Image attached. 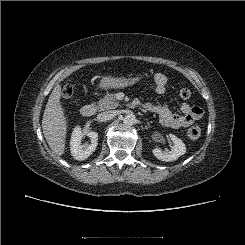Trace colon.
<instances>
[{
    "label": "colon",
    "instance_id": "obj_1",
    "mask_svg": "<svg viewBox=\"0 0 245 245\" xmlns=\"http://www.w3.org/2000/svg\"><path fill=\"white\" fill-rule=\"evenodd\" d=\"M74 94V88L71 84H66L64 85L63 89H62V97L65 100H69L72 98ZM179 96L182 99H188L191 96V91L189 88L183 87L179 90ZM187 136L192 139V140H196L201 136V130L199 127H191L188 132H187Z\"/></svg>",
    "mask_w": 245,
    "mask_h": 245
}]
</instances>
